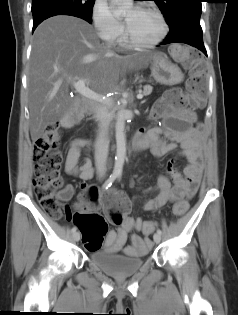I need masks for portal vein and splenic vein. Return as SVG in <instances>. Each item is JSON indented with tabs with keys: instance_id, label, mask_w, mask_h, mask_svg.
<instances>
[{
	"instance_id": "18ae733b",
	"label": "portal vein and splenic vein",
	"mask_w": 238,
	"mask_h": 315,
	"mask_svg": "<svg viewBox=\"0 0 238 315\" xmlns=\"http://www.w3.org/2000/svg\"><path fill=\"white\" fill-rule=\"evenodd\" d=\"M73 86L75 88V90L81 94L82 96L89 98V99H94V100H105L107 102H110V99H107L105 97H103L102 95L94 92L93 90H91L90 88H88L86 86V82L85 80H79L77 82H73ZM138 99H142L143 98V94L139 93L137 95Z\"/></svg>"
}]
</instances>
